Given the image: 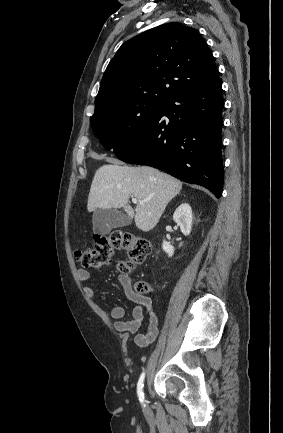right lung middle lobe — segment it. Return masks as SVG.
I'll return each instance as SVG.
<instances>
[{
    "label": "right lung middle lobe",
    "mask_w": 283,
    "mask_h": 433,
    "mask_svg": "<svg viewBox=\"0 0 283 433\" xmlns=\"http://www.w3.org/2000/svg\"><path fill=\"white\" fill-rule=\"evenodd\" d=\"M163 103L134 102L91 116V125L102 145L115 154L125 151L153 119Z\"/></svg>",
    "instance_id": "1"
}]
</instances>
